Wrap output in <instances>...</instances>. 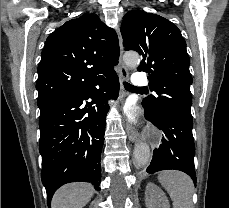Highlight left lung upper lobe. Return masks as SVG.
Returning a JSON list of instances; mask_svg holds the SVG:
<instances>
[{
    "label": "left lung upper lobe",
    "instance_id": "left-lung-upper-lobe-1",
    "mask_svg": "<svg viewBox=\"0 0 229 208\" xmlns=\"http://www.w3.org/2000/svg\"><path fill=\"white\" fill-rule=\"evenodd\" d=\"M121 34L125 50L142 55L138 70L149 74L150 90L157 93L144 99L143 107L192 121L190 59L177 26L156 14L130 11L123 17Z\"/></svg>",
    "mask_w": 229,
    "mask_h": 208
}]
</instances>
